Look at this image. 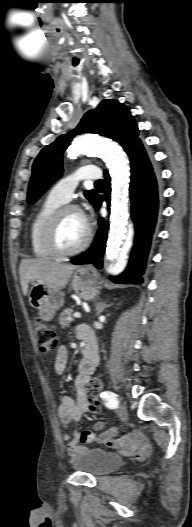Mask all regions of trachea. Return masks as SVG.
Returning a JSON list of instances; mask_svg holds the SVG:
<instances>
[{"instance_id": "trachea-1", "label": "trachea", "mask_w": 192, "mask_h": 527, "mask_svg": "<svg viewBox=\"0 0 192 527\" xmlns=\"http://www.w3.org/2000/svg\"><path fill=\"white\" fill-rule=\"evenodd\" d=\"M96 186H103V180H98L95 182Z\"/></svg>"}]
</instances>
